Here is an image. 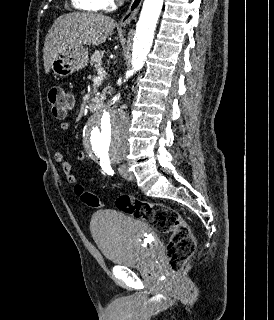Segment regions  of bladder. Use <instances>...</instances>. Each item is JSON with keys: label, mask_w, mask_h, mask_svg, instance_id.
Segmentation results:
<instances>
[{"label": "bladder", "mask_w": 274, "mask_h": 320, "mask_svg": "<svg viewBox=\"0 0 274 320\" xmlns=\"http://www.w3.org/2000/svg\"><path fill=\"white\" fill-rule=\"evenodd\" d=\"M90 231L103 257L118 266L146 263L155 255L159 244L150 224L109 210L93 214Z\"/></svg>", "instance_id": "31cf9c89"}]
</instances>
